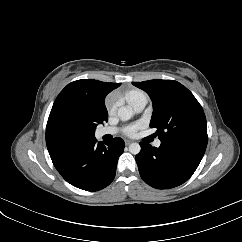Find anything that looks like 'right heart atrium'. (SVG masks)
Returning a JSON list of instances; mask_svg holds the SVG:
<instances>
[{"mask_svg": "<svg viewBox=\"0 0 242 242\" xmlns=\"http://www.w3.org/2000/svg\"><path fill=\"white\" fill-rule=\"evenodd\" d=\"M106 106H107L108 111H113L114 108H115V101H114V99H113V98H110V99L107 101Z\"/></svg>", "mask_w": 242, "mask_h": 242, "instance_id": "right-heart-atrium-1", "label": "right heart atrium"}]
</instances>
